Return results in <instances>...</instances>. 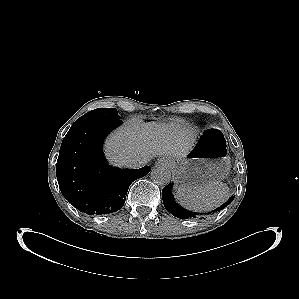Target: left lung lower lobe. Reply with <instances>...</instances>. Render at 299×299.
<instances>
[{
	"label": "left lung lower lobe",
	"instance_id": "obj_1",
	"mask_svg": "<svg viewBox=\"0 0 299 299\" xmlns=\"http://www.w3.org/2000/svg\"><path fill=\"white\" fill-rule=\"evenodd\" d=\"M173 186V183H169L167 186H165L162 190V199L165 208L175 217L180 219H188V218H195L196 215H199V213L191 212L189 210L184 209L179 204L175 202V199L171 193V188ZM235 196H231L227 202L222 204L219 208L215 209L214 211H211L207 214L213 213L215 211H220L224 209L227 205H229Z\"/></svg>",
	"mask_w": 299,
	"mask_h": 299
}]
</instances>
